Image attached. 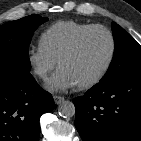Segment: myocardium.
<instances>
[{"mask_svg":"<svg viewBox=\"0 0 141 141\" xmlns=\"http://www.w3.org/2000/svg\"><path fill=\"white\" fill-rule=\"evenodd\" d=\"M96 30L103 31L108 35L109 40H110V52H109L108 58L104 66L102 67V69L90 80L77 84L76 87L78 89H89V88L94 87L99 82H101L103 78L106 76V74L108 73L113 63V60L115 58V54H116V40H115L113 32L109 28L103 25H92L88 27L87 29L83 30L82 32H80L71 42V44L66 48V50L60 55L59 59L57 60L58 66L60 67L61 63L65 59H67L68 57H70L71 55H73L76 52V50L80 46L83 39L89 33L96 31Z\"/></svg>","mask_w":141,"mask_h":141,"instance_id":"obj_1","label":"myocardium"}]
</instances>
